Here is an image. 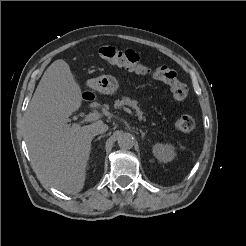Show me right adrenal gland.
<instances>
[{
	"label": "right adrenal gland",
	"mask_w": 246,
	"mask_h": 246,
	"mask_svg": "<svg viewBox=\"0 0 246 246\" xmlns=\"http://www.w3.org/2000/svg\"><path fill=\"white\" fill-rule=\"evenodd\" d=\"M101 138H102V135L98 136V138L96 139V141H97V140H100Z\"/></svg>",
	"instance_id": "obj_1"
}]
</instances>
